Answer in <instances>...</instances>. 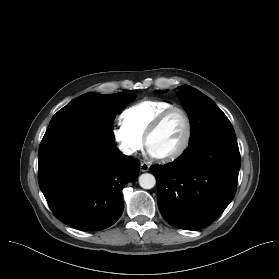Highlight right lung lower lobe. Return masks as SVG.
Segmentation results:
<instances>
[{
  "instance_id": "1",
  "label": "right lung lower lobe",
  "mask_w": 279,
  "mask_h": 279,
  "mask_svg": "<svg viewBox=\"0 0 279 279\" xmlns=\"http://www.w3.org/2000/svg\"><path fill=\"white\" fill-rule=\"evenodd\" d=\"M38 158L39 186L54 215L87 231L118 220L122 189L140 169L139 161L122 155L114 142L81 128L45 134Z\"/></svg>"
}]
</instances>
